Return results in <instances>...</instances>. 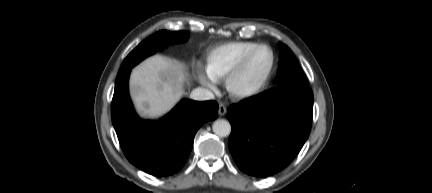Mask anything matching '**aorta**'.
Masks as SVG:
<instances>
[{
  "instance_id": "1",
  "label": "aorta",
  "mask_w": 432,
  "mask_h": 193,
  "mask_svg": "<svg viewBox=\"0 0 432 193\" xmlns=\"http://www.w3.org/2000/svg\"><path fill=\"white\" fill-rule=\"evenodd\" d=\"M213 132L219 137H226L231 133V125L227 120L218 119L213 122Z\"/></svg>"
}]
</instances>
